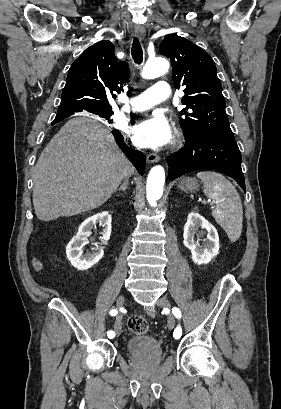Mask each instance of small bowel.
Returning a JSON list of instances; mask_svg holds the SVG:
<instances>
[{"instance_id": "obj_1", "label": "small bowel", "mask_w": 281, "mask_h": 409, "mask_svg": "<svg viewBox=\"0 0 281 409\" xmlns=\"http://www.w3.org/2000/svg\"><path fill=\"white\" fill-rule=\"evenodd\" d=\"M34 266H35L36 271H37L38 273H39V272L42 270V268H43V265H42V263H41L40 261H35Z\"/></svg>"}]
</instances>
